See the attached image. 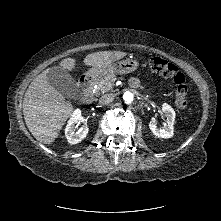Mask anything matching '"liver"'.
I'll return each mask as SVG.
<instances>
[{
  "instance_id": "liver-1",
  "label": "liver",
  "mask_w": 221,
  "mask_h": 221,
  "mask_svg": "<svg viewBox=\"0 0 221 221\" xmlns=\"http://www.w3.org/2000/svg\"><path fill=\"white\" fill-rule=\"evenodd\" d=\"M126 56L121 51H101L88 54L84 64L102 68ZM76 60L66 58L60 62L64 69L75 68ZM50 69V68H49ZM40 73L29 85L23 99V115L31 134L43 144H51L58 137L74 107L55 90L47 80L48 70Z\"/></svg>"
}]
</instances>
